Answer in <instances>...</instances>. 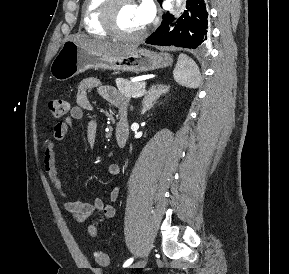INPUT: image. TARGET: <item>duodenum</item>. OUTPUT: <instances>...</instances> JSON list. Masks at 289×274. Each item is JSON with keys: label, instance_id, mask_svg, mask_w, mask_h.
Wrapping results in <instances>:
<instances>
[{"label": "duodenum", "instance_id": "1", "mask_svg": "<svg viewBox=\"0 0 289 274\" xmlns=\"http://www.w3.org/2000/svg\"><path fill=\"white\" fill-rule=\"evenodd\" d=\"M129 135V126L126 114H122L120 120L115 129V139L119 147H124L126 145Z\"/></svg>", "mask_w": 289, "mask_h": 274}]
</instances>
